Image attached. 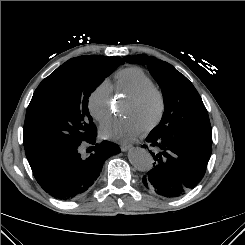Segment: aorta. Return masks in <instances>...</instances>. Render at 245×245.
I'll return each mask as SVG.
<instances>
[{"label": "aorta", "instance_id": "obj_1", "mask_svg": "<svg viewBox=\"0 0 245 245\" xmlns=\"http://www.w3.org/2000/svg\"><path fill=\"white\" fill-rule=\"evenodd\" d=\"M130 163L138 171H148L152 167L153 159L151 154L144 148L134 147L128 152Z\"/></svg>", "mask_w": 245, "mask_h": 245}]
</instances>
